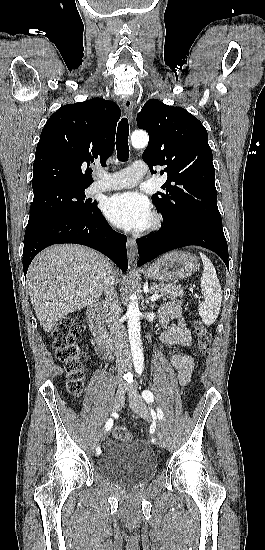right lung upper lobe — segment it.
Segmentation results:
<instances>
[{"mask_svg": "<svg viewBox=\"0 0 265 550\" xmlns=\"http://www.w3.org/2000/svg\"><path fill=\"white\" fill-rule=\"evenodd\" d=\"M120 116L119 106L102 98L60 107L42 130L32 188L60 185L86 189L93 179L84 169L94 162L106 164Z\"/></svg>", "mask_w": 265, "mask_h": 550, "instance_id": "right-lung-upper-lobe-1", "label": "right lung upper lobe"}]
</instances>
